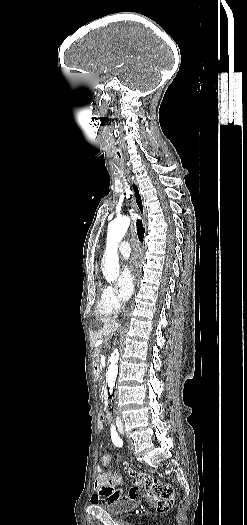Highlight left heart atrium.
<instances>
[{"instance_id": "obj_1", "label": "left heart atrium", "mask_w": 247, "mask_h": 525, "mask_svg": "<svg viewBox=\"0 0 247 525\" xmlns=\"http://www.w3.org/2000/svg\"><path fill=\"white\" fill-rule=\"evenodd\" d=\"M145 256L141 250H135L128 266L122 271V289L124 297L133 292L135 280L140 277L145 267Z\"/></svg>"}]
</instances>
